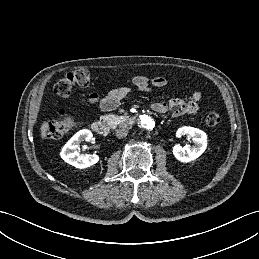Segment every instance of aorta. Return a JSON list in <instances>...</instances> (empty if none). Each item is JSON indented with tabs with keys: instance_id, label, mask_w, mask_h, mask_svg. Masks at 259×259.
I'll return each instance as SVG.
<instances>
[{
	"instance_id": "aorta-1",
	"label": "aorta",
	"mask_w": 259,
	"mask_h": 259,
	"mask_svg": "<svg viewBox=\"0 0 259 259\" xmlns=\"http://www.w3.org/2000/svg\"><path fill=\"white\" fill-rule=\"evenodd\" d=\"M139 124L143 129L146 130H151L155 126L153 118L149 115H143L140 119Z\"/></svg>"
}]
</instances>
